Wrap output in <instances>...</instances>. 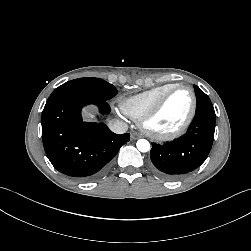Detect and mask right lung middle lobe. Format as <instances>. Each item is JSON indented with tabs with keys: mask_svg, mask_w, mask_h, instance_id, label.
<instances>
[{
	"mask_svg": "<svg viewBox=\"0 0 251 251\" xmlns=\"http://www.w3.org/2000/svg\"><path fill=\"white\" fill-rule=\"evenodd\" d=\"M117 93V89L110 83L99 78H79L68 81L56 88L48 99L61 95H82L101 100H109Z\"/></svg>",
	"mask_w": 251,
	"mask_h": 251,
	"instance_id": "dd1d6c3e",
	"label": "right lung middle lobe"
}]
</instances>
